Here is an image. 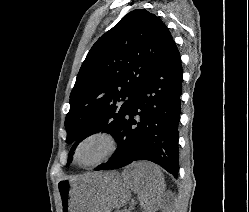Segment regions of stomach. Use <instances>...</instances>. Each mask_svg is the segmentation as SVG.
<instances>
[{
	"label": "stomach",
	"mask_w": 249,
	"mask_h": 212,
	"mask_svg": "<svg viewBox=\"0 0 249 212\" xmlns=\"http://www.w3.org/2000/svg\"><path fill=\"white\" fill-rule=\"evenodd\" d=\"M132 184H122L116 170H89L88 175H72V180H60L57 190L61 212H109L126 204Z\"/></svg>",
	"instance_id": "stomach-1"
}]
</instances>
